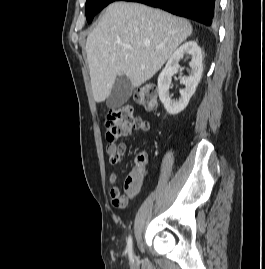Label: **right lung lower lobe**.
Instances as JSON below:
<instances>
[{
  "mask_svg": "<svg viewBox=\"0 0 265 269\" xmlns=\"http://www.w3.org/2000/svg\"><path fill=\"white\" fill-rule=\"evenodd\" d=\"M143 3L161 8L172 14L186 17L207 26L215 19L217 0H116Z\"/></svg>",
  "mask_w": 265,
  "mask_h": 269,
  "instance_id": "1",
  "label": "right lung lower lobe"
}]
</instances>
